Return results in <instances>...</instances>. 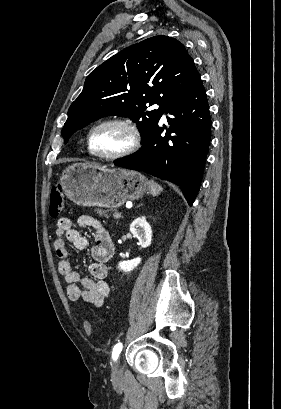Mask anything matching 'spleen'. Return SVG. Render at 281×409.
Wrapping results in <instances>:
<instances>
[{
	"mask_svg": "<svg viewBox=\"0 0 281 409\" xmlns=\"http://www.w3.org/2000/svg\"><path fill=\"white\" fill-rule=\"evenodd\" d=\"M149 190L153 196H157V194H160L162 192L163 188L160 186V184H157V182H154V180H149Z\"/></svg>",
	"mask_w": 281,
	"mask_h": 409,
	"instance_id": "spleen-1",
	"label": "spleen"
}]
</instances>
